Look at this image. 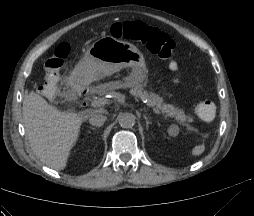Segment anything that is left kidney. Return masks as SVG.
<instances>
[{
	"label": "left kidney",
	"instance_id": "obj_1",
	"mask_svg": "<svg viewBox=\"0 0 254 216\" xmlns=\"http://www.w3.org/2000/svg\"><path fill=\"white\" fill-rule=\"evenodd\" d=\"M168 134L172 137H176L179 134V127L177 125H171L168 128Z\"/></svg>",
	"mask_w": 254,
	"mask_h": 216
}]
</instances>
